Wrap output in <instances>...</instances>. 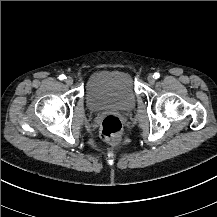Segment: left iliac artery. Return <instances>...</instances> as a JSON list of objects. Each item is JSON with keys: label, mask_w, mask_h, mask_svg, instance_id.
<instances>
[{"label": "left iliac artery", "mask_w": 217, "mask_h": 217, "mask_svg": "<svg viewBox=\"0 0 217 217\" xmlns=\"http://www.w3.org/2000/svg\"><path fill=\"white\" fill-rule=\"evenodd\" d=\"M153 76H154V78H155V79H157V78H159V77H160V74L156 72V73H154V75H153Z\"/></svg>", "instance_id": "obj_1"}]
</instances>
